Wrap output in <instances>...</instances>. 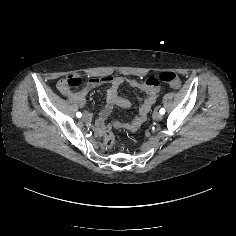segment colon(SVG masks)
Segmentation results:
<instances>
[{
  "label": "colon",
  "mask_w": 236,
  "mask_h": 236,
  "mask_svg": "<svg viewBox=\"0 0 236 236\" xmlns=\"http://www.w3.org/2000/svg\"><path fill=\"white\" fill-rule=\"evenodd\" d=\"M158 80L171 86L172 88H179L182 84L180 78L171 71H165L159 74ZM82 84V78L79 75H70L65 79V85L68 88H76ZM114 135L112 132L107 131L104 134V145L111 148L114 144Z\"/></svg>",
  "instance_id": "colon-1"
}]
</instances>
